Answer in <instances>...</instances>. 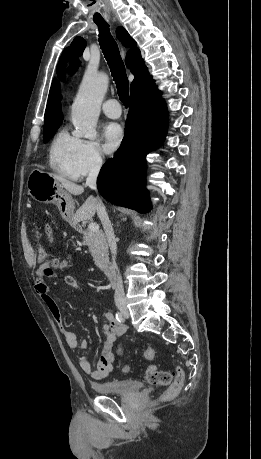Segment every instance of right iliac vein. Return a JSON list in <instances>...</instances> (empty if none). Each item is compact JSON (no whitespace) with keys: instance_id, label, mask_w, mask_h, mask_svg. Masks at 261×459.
<instances>
[{"instance_id":"obj_1","label":"right iliac vein","mask_w":261,"mask_h":459,"mask_svg":"<svg viewBox=\"0 0 261 459\" xmlns=\"http://www.w3.org/2000/svg\"><path fill=\"white\" fill-rule=\"evenodd\" d=\"M118 308H119L122 312H124V311L127 310L126 304H125V303H120V304L118 305Z\"/></svg>"}]
</instances>
